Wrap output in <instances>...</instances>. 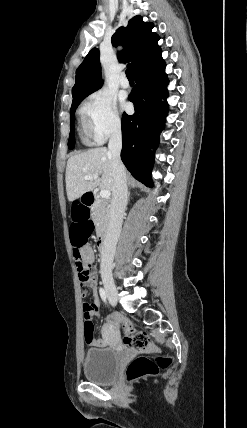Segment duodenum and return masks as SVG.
<instances>
[{"mask_svg": "<svg viewBox=\"0 0 247 428\" xmlns=\"http://www.w3.org/2000/svg\"><path fill=\"white\" fill-rule=\"evenodd\" d=\"M95 203V196L93 193L89 192L85 195V204H90V207ZM108 243V236L107 234H102L97 242L98 250L103 253L106 250Z\"/></svg>", "mask_w": 247, "mask_h": 428, "instance_id": "1", "label": "duodenum"}]
</instances>
